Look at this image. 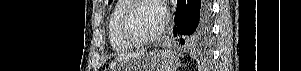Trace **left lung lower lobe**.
Listing matches in <instances>:
<instances>
[{
    "instance_id": "1",
    "label": "left lung lower lobe",
    "mask_w": 301,
    "mask_h": 71,
    "mask_svg": "<svg viewBox=\"0 0 301 71\" xmlns=\"http://www.w3.org/2000/svg\"><path fill=\"white\" fill-rule=\"evenodd\" d=\"M175 36L182 45L203 46L211 35L210 0H177Z\"/></svg>"
}]
</instances>
